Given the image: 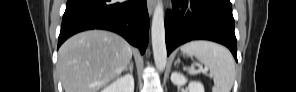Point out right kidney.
I'll return each mask as SVG.
<instances>
[{"instance_id":"obj_1","label":"right kidney","mask_w":296,"mask_h":92,"mask_svg":"<svg viewBox=\"0 0 296 92\" xmlns=\"http://www.w3.org/2000/svg\"><path fill=\"white\" fill-rule=\"evenodd\" d=\"M101 92H134V79L132 75H124L110 85L105 87Z\"/></svg>"}]
</instances>
